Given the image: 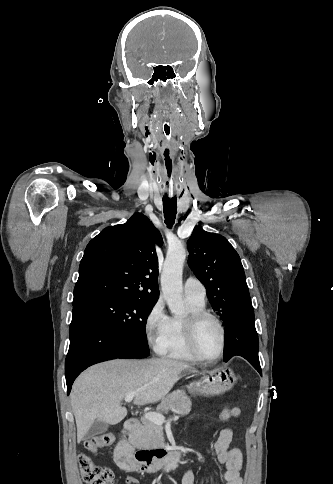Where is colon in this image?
Masks as SVG:
<instances>
[{"mask_svg":"<svg viewBox=\"0 0 333 484\" xmlns=\"http://www.w3.org/2000/svg\"><path fill=\"white\" fill-rule=\"evenodd\" d=\"M232 407H224L219 411L220 420H227L230 416ZM115 441L112 433H104L89 439L86 448L91 452H96L100 448L111 446ZM81 476L88 484H113L114 473L111 469L94 463L91 458L81 453L78 456Z\"/></svg>","mask_w":333,"mask_h":484,"instance_id":"5ec220e1","label":"colon"}]
</instances>
